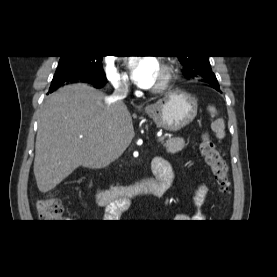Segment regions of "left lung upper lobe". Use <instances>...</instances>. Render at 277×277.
<instances>
[{
  "mask_svg": "<svg viewBox=\"0 0 277 277\" xmlns=\"http://www.w3.org/2000/svg\"><path fill=\"white\" fill-rule=\"evenodd\" d=\"M184 65L183 74L189 78L214 79L217 80L211 70L208 56H177Z\"/></svg>",
  "mask_w": 277,
  "mask_h": 277,
  "instance_id": "obj_1",
  "label": "left lung upper lobe"
}]
</instances>
